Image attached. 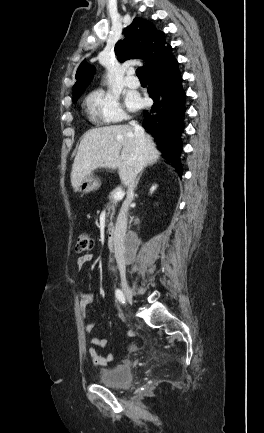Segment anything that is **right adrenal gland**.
I'll return each instance as SVG.
<instances>
[{"mask_svg": "<svg viewBox=\"0 0 264 433\" xmlns=\"http://www.w3.org/2000/svg\"><path fill=\"white\" fill-rule=\"evenodd\" d=\"M140 177H141V174L138 176V178L136 179V182H135V187H137V185H138V183H139V180H140Z\"/></svg>", "mask_w": 264, "mask_h": 433, "instance_id": "right-adrenal-gland-1", "label": "right adrenal gland"}]
</instances>
